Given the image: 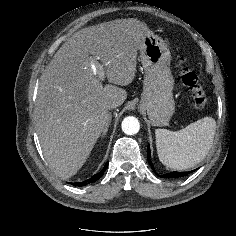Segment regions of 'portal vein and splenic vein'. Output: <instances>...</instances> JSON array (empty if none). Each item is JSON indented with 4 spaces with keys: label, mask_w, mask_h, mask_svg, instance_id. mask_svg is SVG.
Listing matches in <instances>:
<instances>
[{
    "label": "portal vein and splenic vein",
    "mask_w": 236,
    "mask_h": 236,
    "mask_svg": "<svg viewBox=\"0 0 236 236\" xmlns=\"http://www.w3.org/2000/svg\"><path fill=\"white\" fill-rule=\"evenodd\" d=\"M90 66H91L94 74H98L99 78L101 80H103L105 77V71H104L103 66L98 61H96L94 59L90 60Z\"/></svg>",
    "instance_id": "1"
}]
</instances>
